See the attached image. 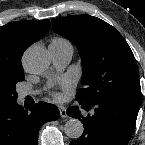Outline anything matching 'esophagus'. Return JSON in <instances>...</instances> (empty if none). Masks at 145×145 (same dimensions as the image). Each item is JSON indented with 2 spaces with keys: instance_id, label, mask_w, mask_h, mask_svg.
<instances>
[{
  "instance_id": "obj_1",
  "label": "esophagus",
  "mask_w": 145,
  "mask_h": 145,
  "mask_svg": "<svg viewBox=\"0 0 145 145\" xmlns=\"http://www.w3.org/2000/svg\"><path fill=\"white\" fill-rule=\"evenodd\" d=\"M59 111H60V116L62 118H66L67 117L66 108L64 106H59Z\"/></svg>"
}]
</instances>
